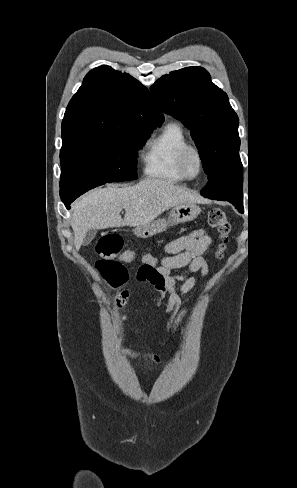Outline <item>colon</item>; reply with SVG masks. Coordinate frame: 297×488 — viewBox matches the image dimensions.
I'll return each instance as SVG.
<instances>
[{
    "instance_id": "5ec220e1",
    "label": "colon",
    "mask_w": 297,
    "mask_h": 488,
    "mask_svg": "<svg viewBox=\"0 0 297 488\" xmlns=\"http://www.w3.org/2000/svg\"><path fill=\"white\" fill-rule=\"evenodd\" d=\"M207 221L209 226L217 229L220 234L218 256L221 257L226 243L228 242V234L231 230L230 222L225 213L218 208L209 211ZM96 251L101 257V259L96 262V269L98 272L112 287L122 288L128 282L129 274L123 263L124 261L121 258L118 260L116 257L120 255V257L124 256L126 258H131L132 255L127 253V250L122 252L121 237L115 233L103 235L96 245ZM141 261V265L135 274V278L138 282L143 283L146 282L150 274L159 265V258L151 254H145L141 256ZM127 296L128 291H122L118 302L122 303Z\"/></svg>"
}]
</instances>
